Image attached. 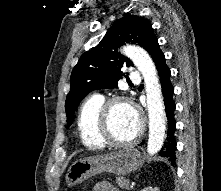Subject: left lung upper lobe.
I'll use <instances>...</instances> for the list:
<instances>
[{
	"label": "left lung upper lobe",
	"instance_id": "left-lung-upper-lobe-1",
	"mask_svg": "<svg viewBox=\"0 0 221 191\" xmlns=\"http://www.w3.org/2000/svg\"><path fill=\"white\" fill-rule=\"evenodd\" d=\"M154 39L153 28L146 19L124 16L113 24L96 47L81 56L71 73V89L65 102L68 126L79 103L91 91L116 88L122 77L121 68L133 66L118 48L131 43L148 51Z\"/></svg>",
	"mask_w": 221,
	"mask_h": 191
}]
</instances>
